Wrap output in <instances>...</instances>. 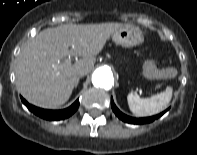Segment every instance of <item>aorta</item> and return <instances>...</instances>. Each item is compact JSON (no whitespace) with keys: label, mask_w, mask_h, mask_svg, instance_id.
Instances as JSON below:
<instances>
[{"label":"aorta","mask_w":197,"mask_h":155,"mask_svg":"<svg viewBox=\"0 0 197 155\" xmlns=\"http://www.w3.org/2000/svg\"><path fill=\"white\" fill-rule=\"evenodd\" d=\"M92 83L96 87L109 90L113 85V74L107 67H100L95 70L92 76Z\"/></svg>","instance_id":"1"}]
</instances>
